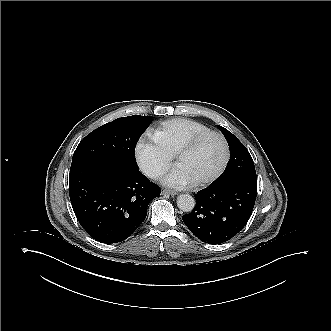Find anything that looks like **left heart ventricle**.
<instances>
[{"label":"left heart ventricle","instance_id":"b2bd125f","mask_svg":"<svg viewBox=\"0 0 331 331\" xmlns=\"http://www.w3.org/2000/svg\"><path fill=\"white\" fill-rule=\"evenodd\" d=\"M222 158L223 148L220 140L215 136H210L198 143L183 156L180 167L193 180L203 179L216 171Z\"/></svg>","mask_w":331,"mask_h":331}]
</instances>
